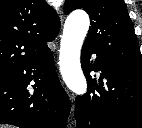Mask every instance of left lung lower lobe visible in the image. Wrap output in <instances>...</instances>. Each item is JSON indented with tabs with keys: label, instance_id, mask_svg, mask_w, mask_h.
Listing matches in <instances>:
<instances>
[{
	"label": "left lung lower lobe",
	"instance_id": "left-lung-lower-lobe-1",
	"mask_svg": "<svg viewBox=\"0 0 142 128\" xmlns=\"http://www.w3.org/2000/svg\"><path fill=\"white\" fill-rule=\"evenodd\" d=\"M81 66L89 90L76 98V128H142V72L116 67L85 44ZM93 70L102 71L99 83L90 76Z\"/></svg>",
	"mask_w": 142,
	"mask_h": 128
}]
</instances>
